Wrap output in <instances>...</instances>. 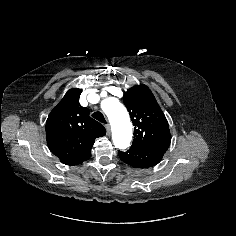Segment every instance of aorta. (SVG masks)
<instances>
[{
	"mask_svg": "<svg viewBox=\"0 0 236 236\" xmlns=\"http://www.w3.org/2000/svg\"><path fill=\"white\" fill-rule=\"evenodd\" d=\"M102 109L112 127V139L116 148L124 150L132 140V123L126 108L115 98L103 101Z\"/></svg>",
	"mask_w": 236,
	"mask_h": 236,
	"instance_id": "762f6f07",
	"label": "aorta"
}]
</instances>
